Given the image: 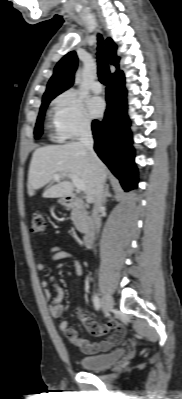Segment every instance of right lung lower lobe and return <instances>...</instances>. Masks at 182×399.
<instances>
[{
  "label": "right lung lower lobe",
  "mask_w": 182,
  "mask_h": 399,
  "mask_svg": "<svg viewBox=\"0 0 182 399\" xmlns=\"http://www.w3.org/2000/svg\"><path fill=\"white\" fill-rule=\"evenodd\" d=\"M124 74L111 77L106 88L107 109L102 121L92 122L94 149L125 191L137 187V168L127 116V91Z\"/></svg>",
  "instance_id": "right-lung-lower-lobe-1"
}]
</instances>
